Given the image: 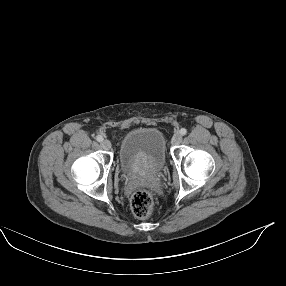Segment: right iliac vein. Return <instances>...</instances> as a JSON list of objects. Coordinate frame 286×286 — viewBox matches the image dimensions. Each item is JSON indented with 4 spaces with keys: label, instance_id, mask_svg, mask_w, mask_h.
<instances>
[{
    "label": "right iliac vein",
    "instance_id": "63e3f726",
    "mask_svg": "<svg viewBox=\"0 0 286 286\" xmlns=\"http://www.w3.org/2000/svg\"><path fill=\"white\" fill-rule=\"evenodd\" d=\"M101 147L103 149L108 150V149L111 148V142L109 140H107V139H104V140L101 141Z\"/></svg>",
    "mask_w": 286,
    "mask_h": 286
}]
</instances>
